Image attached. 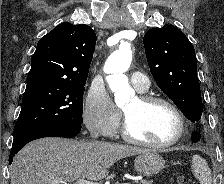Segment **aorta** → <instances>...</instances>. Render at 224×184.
<instances>
[{"instance_id":"aorta-1","label":"aorta","mask_w":224,"mask_h":184,"mask_svg":"<svg viewBox=\"0 0 224 184\" xmlns=\"http://www.w3.org/2000/svg\"><path fill=\"white\" fill-rule=\"evenodd\" d=\"M131 61L132 52L130 43L121 42L119 49L109 56L104 65V72L108 74L106 80L110 89L115 94V102L118 106L125 104L135 95L125 75Z\"/></svg>"}]
</instances>
